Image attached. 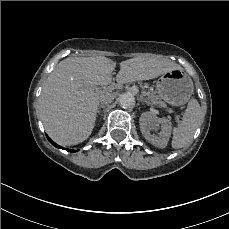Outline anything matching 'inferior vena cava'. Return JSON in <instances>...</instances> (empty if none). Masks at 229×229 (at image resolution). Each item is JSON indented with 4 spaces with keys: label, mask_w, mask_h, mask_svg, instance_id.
<instances>
[{
    "label": "inferior vena cava",
    "mask_w": 229,
    "mask_h": 229,
    "mask_svg": "<svg viewBox=\"0 0 229 229\" xmlns=\"http://www.w3.org/2000/svg\"><path fill=\"white\" fill-rule=\"evenodd\" d=\"M122 97H123V96H122ZM101 103H102L103 105H105V106L108 104V102L105 101L104 99L101 100Z\"/></svg>",
    "instance_id": "602c4592"
}]
</instances>
